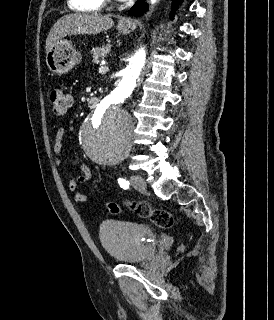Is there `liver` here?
Segmentation results:
<instances>
[{
	"mask_svg": "<svg viewBox=\"0 0 274 320\" xmlns=\"http://www.w3.org/2000/svg\"><path fill=\"white\" fill-rule=\"evenodd\" d=\"M114 22L109 16H102V14H67L62 16L54 24L52 30L48 34L46 40V54L50 48L56 46L59 40L65 36H77V34H100L113 28Z\"/></svg>",
	"mask_w": 274,
	"mask_h": 320,
	"instance_id": "6515ba94",
	"label": "liver"
}]
</instances>
